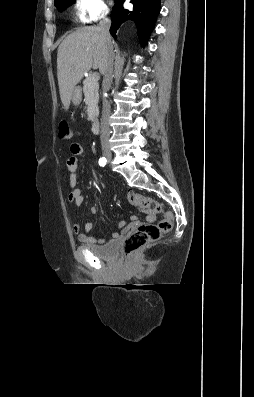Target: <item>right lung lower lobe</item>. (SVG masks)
<instances>
[{
  "label": "right lung lower lobe",
  "mask_w": 254,
  "mask_h": 397,
  "mask_svg": "<svg viewBox=\"0 0 254 397\" xmlns=\"http://www.w3.org/2000/svg\"><path fill=\"white\" fill-rule=\"evenodd\" d=\"M116 1L112 11L111 35L116 38L117 30L122 24L127 23L136 28L140 41L146 42L160 12V0H131V10L123 8L125 0Z\"/></svg>",
  "instance_id": "98d812e1"
}]
</instances>
